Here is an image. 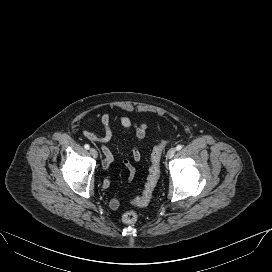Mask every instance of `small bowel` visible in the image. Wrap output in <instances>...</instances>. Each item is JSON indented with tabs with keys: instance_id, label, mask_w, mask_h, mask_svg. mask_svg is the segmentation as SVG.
Listing matches in <instances>:
<instances>
[{
	"instance_id": "c3829d8e",
	"label": "small bowel",
	"mask_w": 272,
	"mask_h": 272,
	"mask_svg": "<svg viewBox=\"0 0 272 272\" xmlns=\"http://www.w3.org/2000/svg\"><path fill=\"white\" fill-rule=\"evenodd\" d=\"M93 117H89L86 120H92ZM118 120L121 124V126L127 130L130 135L136 140L141 141L144 139L146 135V129L147 124L145 122H135L133 119H131L127 115H119ZM100 122L103 127L104 133L103 135L99 136L89 130L82 129V135L86 139L98 143L101 145V150L104 155L103 158V166L104 168L108 169L111 165V163L114 160V154L111 151V149L107 146V144L112 140L113 138V131L111 128V115L108 112H105L100 117ZM132 159L135 162H139L141 160V153L137 147H133L131 151ZM123 165L126 168L128 172V181L131 182L135 178L136 169L133 163L130 160L125 159L123 161ZM103 188L107 189L110 186V180L109 178L104 179L103 181ZM120 205V202L117 198H111L109 201V206L111 209L115 210L118 209Z\"/></svg>"
}]
</instances>
